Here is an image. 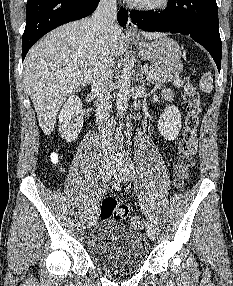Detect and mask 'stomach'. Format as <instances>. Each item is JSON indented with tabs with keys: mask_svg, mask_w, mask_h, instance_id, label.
Wrapping results in <instances>:
<instances>
[{
	"mask_svg": "<svg viewBox=\"0 0 233 286\" xmlns=\"http://www.w3.org/2000/svg\"><path fill=\"white\" fill-rule=\"evenodd\" d=\"M135 45L142 59L151 61L153 65L180 70V46L167 35L161 34L151 42L136 41Z\"/></svg>",
	"mask_w": 233,
	"mask_h": 286,
	"instance_id": "stomach-1",
	"label": "stomach"
}]
</instances>
